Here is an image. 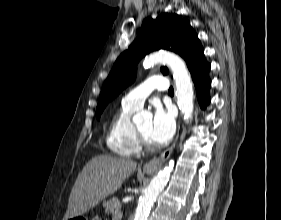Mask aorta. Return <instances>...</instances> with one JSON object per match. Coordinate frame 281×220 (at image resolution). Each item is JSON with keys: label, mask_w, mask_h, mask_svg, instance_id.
I'll use <instances>...</instances> for the list:
<instances>
[{"label": "aorta", "mask_w": 281, "mask_h": 220, "mask_svg": "<svg viewBox=\"0 0 281 220\" xmlns=\"http://www.w3.org/2000/svg\"><path fill=\"white\" fill-rule=\"evenodd\" d=\"M156 63L166 64L173 72L176 86V97L179 110L186 121L192 117L193 103V87L185 62L177 55L170 52H159L151 54L143 62L145 68L155 65ZM147 115L146 112H140L133 118L134 122L142 120ZM174 161L171 160L169 165L160 170L152 179L150 185L145 190L141 200L135 211L134 220H147L148 214L156 201L159 193L164 189L170 173L173 169Z\"/></svg>", "instance_id": "762f6f07"}]
</instances>
